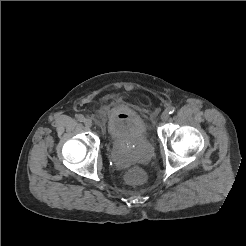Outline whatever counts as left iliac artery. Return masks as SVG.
Here are the masks:
<instances>
[{
  "label": "left iliac artery",
  "instance_id": "left-iliac-artery-1",
  "mask_svg": "<svg viewBox=\"0 0 246 246\" xmlns=\"http://www.w3.org/2000/svg\"><path fill=\"white\" fill-rule=\"evenodd\" d=\"M166 111H167L169 114H172V113H174L175 108H174L173 106H170V107L167 108Z\"/></svg>",
  "mask_w": 246,
  "mask_h": 246
}]
</instances>
